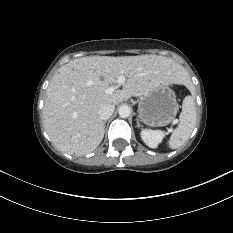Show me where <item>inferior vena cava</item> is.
<instances>
[{
  "label": "inferior vena cava",
  "mask_w": 233,
  "mask_h": 233,
  "mask_svg": "<svg viewBox=\"0 0 233 233\" xmlns=\"http://www.w3.org/2000/svg\"><path fill=\"white\" fill-rule=\"evenodd\" d=\"M115 110L114 104H104L99 109V117L101 120H107Z\"/></svg>",
  "instance_id": "inferior-vena-cava-1"
}]
</instances>
